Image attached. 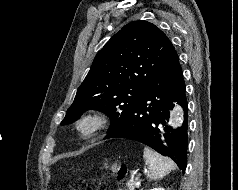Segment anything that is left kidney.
Listing matches in <instances>:
<instances>
[{
	"mask_svg": "<svg viewBox=\"0 0 238 190\" xmlns=\"http://www.w3.org/2000/svg\"><path fill=\"white\" fill-rule=\"evenodd\" d=\"M150 190H165V189L161 188V187H157V188H153V189H150Z\"/></svg>",
	"mask_w": 238,
	"mask_h": 190,
	"instance_id": "obj_1",
	"label": "left kidney"
}]
</instances>
